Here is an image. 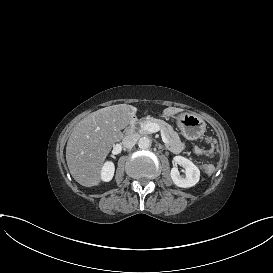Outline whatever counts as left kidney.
Instances as JSON below:
<instances>
[{
  "mask_svg": "<svg viewBox=\"0 0 273 273\" xmlns=\"http://www.w3.org/2000/svg\"><path fill=\"white\" fill-rule=\"evenodd\" d=\"M177 164L185 168V176L180 175ZM174 167L171 169V178L175 185L182 188L192 187L200 179V170L192 161L182 156L173 158Z\"/></svg>",
  "mask_w": 273,
  "mask_h": 273,
  "instance_id": "left-kidney-1",
  "label": "left kidney"
}]
</instances>
